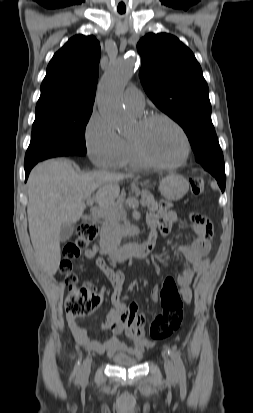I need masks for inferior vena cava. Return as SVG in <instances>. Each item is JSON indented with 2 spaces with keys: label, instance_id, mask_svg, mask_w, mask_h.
<instances>
[{
  "label": "inferior vena cava",
  "instance_id": "inferior-vena-cava-1",
  "mask_svg": "<svg viewBox=\"0 0 253 413\" xmlns=\"http://www.w3.org/2000/svg\"><path fill=\"white\" fill-rule=\"evenodd\" d=\"M103 236L110 242L113 246H119L121 242V235L109 226L103 228Z\"/></svg>",
  "mask_w": 253,
  "mask_h": 413
}]
</instances>
